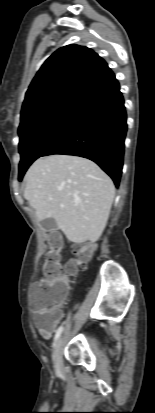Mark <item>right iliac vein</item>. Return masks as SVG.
Segmentation results:
<instances>
[{"label":"right iliac vein","instance_id":"right-iliac-vein-1","mask_svg":"<svg viewBox=\"0 0 155 413\" xmlns=\"http://www.w3.org/2000/svg\"><path fill=\"white\" fill-rule=\"evenodd\" d=\"M63 335L60 336L53 349V362L57 371H61L63 368Z\"/></svg>","mask_w":155,"mask_h":413}]
</instances>
